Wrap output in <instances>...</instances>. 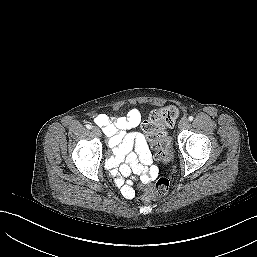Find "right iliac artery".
<instances>
[{
  "mask_svg": "<svg viewBox=\"0 0 257 257\" xmlns=\"http://www.w3.org/2000/svg\"><path fill=\"white\" fill-rule=\"evenodd\" d=\"M86 128H87V129H91V128H92V125L87 124V125H86Z\"/></svg>",
  "mask_w": 257,
  "mask_h": 257,
  "instance_id": "right-iliac-artery-1",
  "label": "right iliac artery"
}]
</instances>
